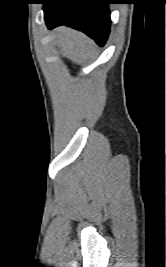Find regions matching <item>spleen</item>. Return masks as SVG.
I'll list each match as a JSON object with an SVG mask.
<instances>
[{
    "mask_svg": "<svg viewBox=\"0 0 166 267\" xmlns=\"http://www.w3.org/2000/svg\"><path fill=\"white\" fill-rule=\"evenodd\" d=\"M66 55L77 63L86 62L93 54L94 43L82 33L61 28L54 35Z\"/></svg>",
    "mask_w": 166,
    "mask_h": 267,
    "instance_id": "obj_1",
    "label": "spleen"
}]
</instances>
